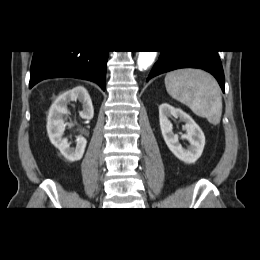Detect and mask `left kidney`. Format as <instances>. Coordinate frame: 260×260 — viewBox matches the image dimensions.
I'll return each mask as SVG.
<instances>
[{
    "instance_id": "1",
    "label": "left kidney",
    "mask_w": 260,
    "mask_h": 260,
    "mask_svg": "<svg viewBox=\"0 0 260 260\" xmlns=\"http://www.w3.org/2000/svg\"><path fill=\"white\" fill-rule=\"evenodd\" d=\"M172 116L185 122L186 134L181 137L189 141L190 145L187 148L182 147L179 143V136L173 133V127L169 120ZM159 121L162 136L169 150L179 160L188 164L195 163L201 156L205 145V136L201 128L187 113L168 103L159 106Z\"/></svg>"
}]
</instances>
